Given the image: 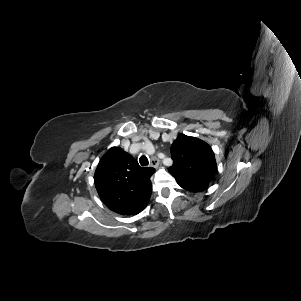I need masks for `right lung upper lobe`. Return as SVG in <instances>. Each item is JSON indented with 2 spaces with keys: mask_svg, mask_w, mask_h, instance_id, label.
<instances>
[{
  "mask_svg": "<svg viewBox=\"0 0 301 301\" xmlns=\"http://www.w3.org/2000/svg\"><path fill=\"white\" fill-rule=\"evenodd\" d=\"M152 167H140L122 148L112 147L100 160L94 182L103 203L122 215H136L148 204Z\"/></svg>",
  "mask_w": 301,
  "mask_h": 301,
  "instance_id": "obj_1",
  "label": "right lung upper lobe"
}]
</instances>
